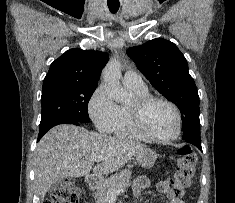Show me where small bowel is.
<instances>
[{
  "label": "small bowel",
  "instance_id": "c3829d8e",
  "mask_svg": "<svg viewBox=\"0 0 235 203\" xmlns=\"http://www.w3.org/2000/svg\"><path fill=\"white\" fill-rule=\"evenodd\" d=\"M151 184L150 178L146 176L138 177L133 185L134 194L139 196L144 190H146ZM169 203H184L181 199H171Z\"/></svg>",
  "mask_w": 235,
  "mask_h": 203
}]
</instances>
